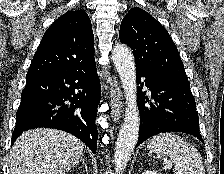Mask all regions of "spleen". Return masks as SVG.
Masks as SVG:
<instances>
[{"label": "spleen", "instance_id": "obj_1", "mask_svg": "<svg viewBox=\"0 0 224 174\" xmlns=\"http://www.w3.org/2000/svg\"><path fill=\"white\" fill-rule=\"evenodd\" d=\"M152 153L169 156L175 165L174 174H205L201 155L197 149L174 133L154 136L147 145Z\"/></svg>", "mask_w": 224, "mask_h": 174}]
</instances>
